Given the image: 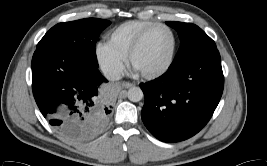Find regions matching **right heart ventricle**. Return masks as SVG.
<instances>
[{"mask_svg": "<svg viewBox=\"0 0 267 166\" xmlns=\"http://www.w3.org/2000/svg\"><path fill=\"white\" fill-rule=\"evenodd\" d=\"M156 22L148 20H131L114 28L109 35L110 46L121 56H127L135 40Z\"/></svg>", "mask_w": 267, "mask_h": 166, "instance_id": "1", "label": "right heart ventricle"}]
</instances>
